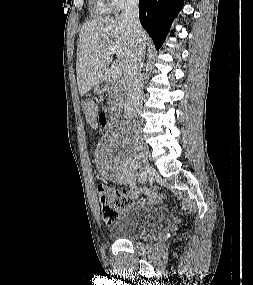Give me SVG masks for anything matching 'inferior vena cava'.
Here are the masks:
<instances>
[{
  "mask_svg": "<svg viewBox=\"0 0 253 285\" xmlns=\"http://www.w3.org/2000/svg\"><path fill=\"white\" fill-rule=\"evenodd\" d=\"M139 0H126L122 17L128 22L133 42L131 52L124 67V78L128 89L125 104V115L128 118L136 117L143 100V82L141 71L145 55V42L142 38V26L138 17Z\"/></svg>",
  "mask_w": 253,
  "mask_h": 285,
  "instance_id": "602c4592",
  "label": "inferior vena cava"
}]
</instances>
